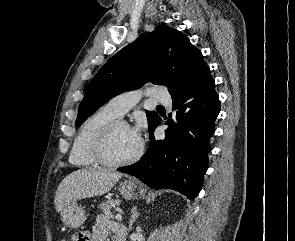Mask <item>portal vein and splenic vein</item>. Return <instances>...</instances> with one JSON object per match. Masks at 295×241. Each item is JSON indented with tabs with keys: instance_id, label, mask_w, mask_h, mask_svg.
Returning a JSON list of instances; mask_svg holds the SVG:
<instances>
[{
	"instance_id": "1",
	"label": "portal vein and splenic vein",
	"mask_w": 295,
	"mask_h": 241,
	"mask_svg": "<svg viewBox=\"0 0 295 241\" xmlns=\"http://www.w3.org/2000/svg\"><path fill=\"white\" fill-rule=\"evenodd\" d=\"M116 220L121 221L122 220V216L121 214H116L115 216Z\"/></svg>"
}]
</instances>
